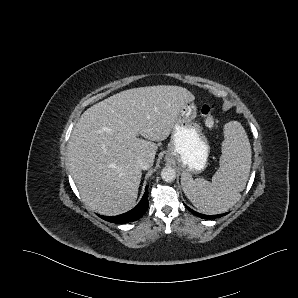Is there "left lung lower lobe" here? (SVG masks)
<instances>
[{
    "instance_id": "obj_1",
    "label": "left lung lower lobe",
    "mask_w": 298,
    "mask_h": 298,
    "mask_svg": "<svg viewBox=\"0 0 298 298\" xmlns=\"http://www.w3.org/2000/svg\"><path fill=\"white\" fill-rule=\"evenodd\" d=\"M185 205V204H184ZM185 207L190 211L192 212L194 215L198 216V217H201V218H205V219H215V218H218V217H221L225 214H219V215H203V214H200L198 212H195L193 211L192 209H190L188 206L185 205Z\"/></svg>"
}]
</instances>
